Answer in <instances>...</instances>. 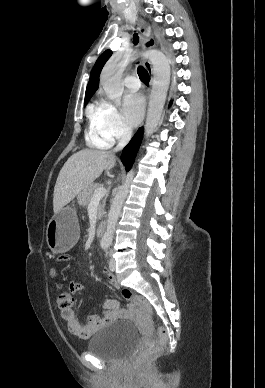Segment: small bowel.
<instances>
[{"mask_svg":"<svg viewBox=\"0 0 265 388\" xmlns=\"http://www.w3.org/2000/svg\"><path fill=\"white\" fill-rule=\"evenodd\" d=\"M67 261L72 262L74 261V258H68ZM105 278L111 287H118L117 280L111 273L106 272ZM69 290L72 293L81 292L83 290V286L79 282L71 281L69 283ZM105 306L112 307V302L107 301ZM120 316L121 311L118 309H113L112 311L103 315L96 314L90 316L87 323L84 324L81 322L79 315L73 309H64L61 312V317L66 322L68 330L72 334L82 339H88L92 337L100 328L111 323Z\"/></svg>","mask_w":265,"mask_h":388,"instance_id":"obj_1","label":"small bowel"}]
</instances>
